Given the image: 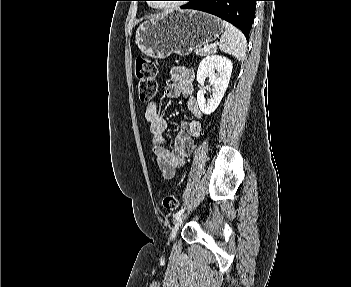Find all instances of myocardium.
I'll return each mask as SVG.
<instances>
[{
  "instance_id": "myocardium-1",
  "label": "myocardium",
  "mask_w": 351,
  "mask_h": 287,
  "mask_svg": "<svg viewBox=\"0 0 351 287\" xmlns=\"http://www.w3.org/2000/svg\"><path fill=\"white\" fill-rule=\"evenodd\" d=\"M156 6L159 7V8H163L162 5H156Z\"/></svg>"
}]
</instances>
